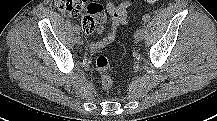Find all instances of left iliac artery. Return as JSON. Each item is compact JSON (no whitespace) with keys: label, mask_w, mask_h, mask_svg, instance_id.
<instances>
[{"label":"left iliac artery","mask_w":217,"mask_h":121,"mask_svg":"<svg viewBox=\"0 0 217 121\" xmlns=\"http://www.w3.org/2000/svg\"><path fill=\"white\" fill-rule=\"evenodd\" d=\"M150 18H151L150 15L145 14V15L143 16V18H142L143 23L149 22V21H150Z\"/></svg>","instance_id":"obj_1"}]
</instances>
